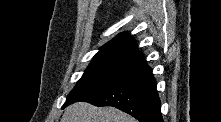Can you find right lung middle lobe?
I'll return each instance as SVG.
<instances>
[{
    "instance_id": "right-lung-middle-lobe-1",
    "label": "right lung middle lobe",
    "mask_w": 221,
    "mask_h": 122,
    "mask_svg": "<svg viewBox=\"0 0 221 122\" xmlns=\"http://www.w3.org/2000/svg\"><path fill=\"white\" fill-rule=\"evenodd\" d=\"M138 63L118 58L93 60L70 92L64 107L109 88L127 76Z\"/></svg>"
}]
</instances>
